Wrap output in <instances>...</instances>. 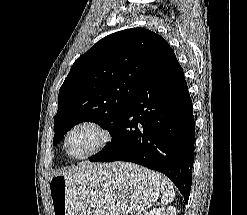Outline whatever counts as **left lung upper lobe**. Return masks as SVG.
I'll return each instance as SVG.
<instances>
[{"mask_svg":"<svg viewBox=\"0 0 247 215\" xmlns=\"http://www.w3.org/2000/svg\"><path fill=\"white\" fill-rule=\"evenodd\" d=\"M169 48L154 32L133 28L106 36L81 55L59 91L53 145L83 121L112 134Z\"/></svg>","mask_w":247,"mask_h":215,"instance_id":"1","label":"left lung upper lobe"}]
</instances>
